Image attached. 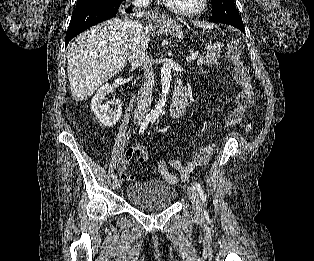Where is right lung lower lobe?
Returning a JSON list of instances; mask_svg holds the SVG:
<instances>
[{
    "mask_svg": "<svg viewBox=\"0 0 314 261\" xmlns=\"http://www.w3.org/2000/svg\"><path fill=\"white\" fill-rule=\"evenodd\" d=\"M125 0H98L81 8H76L65 38V46L84 30L108 20L122 9ZM131 13V10H126Z\"/></svg>",
    "mask_w": 314,
    "mask_h": 261,
    "instance_id": "1",
    "label": "right lung lower lobe"
}]
</instances>
